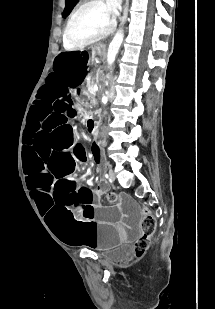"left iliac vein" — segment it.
I'll list each match as a JSON object with an SVG mask.
<instances>
[{"mask_svg":"<svg viewBox=\"0 0 215 309\" xmlns=\"http://www.w3.org/2000/svg\"><path fill=\"white\" fill-rule=\"evenodd\" d=\"M109 179H110L111 181H114V180H115V173H114L113 170H110V171H109Z\"/></svg>","mask_w":215,"mask_h":309,"instance_id":"obj_1","label":"left iliac vein"}]
</instances>
